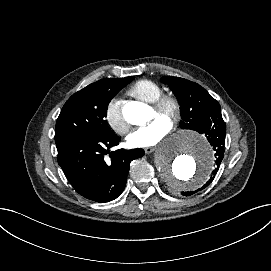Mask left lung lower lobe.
<instances>
[{
    "label": "left lung lower lobe",
    "instance_id": "left-lung-lower-lobe-1",
    "mask_svg": "<svg viewBox=\"0 0 271 271\" xmlns=\"http://www.w3.org/2000/svg\"><path fill=\"white\" fill-rule=\"evenodd\" d=\"M197 132L200 134H204L205 137L208 139L209 143L213 147L215 151V169L212 171V175L210 179L203 185L202 188L198 189L200 191L206 188L214 179L219 166L224 157V145H225V134H226V124L222 118L221 113L214 115L212 118L207 120L204 124L199 126L196 129ZM194 192H182L184 196H190Z\"/></svg>",
    "mask_w": 271,
    "mask_h": 271
}]
</instances>
